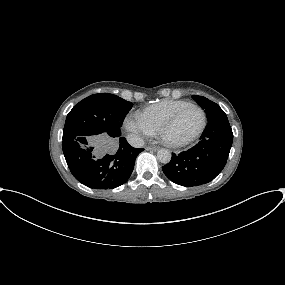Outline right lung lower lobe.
I'll use <instances>...</instances> for the list:
<instances>
[{"mask_svg": "<svg viewBox=\"0 0 285 285\" xmlns=\"http://www.w3.org/2000/svg\"><path fill=\"white\" fill-rule=\"evenodd\" d=\"M115 152L107 153L101 139L77 137L63 141L62 149L72 175L93 189H113L132 174L136 156L144 149L133 148L124 137L116 139Z\"/></svg>", "mask_w": 285, "mask_h": 285, "instance_id": "1", "label": "right lung lower lobe"}]
</instances>
